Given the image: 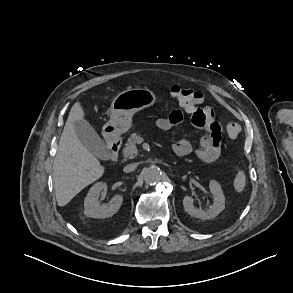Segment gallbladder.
Returning a JSON list of instances; mask_svg holds the SVG:
<instances>
[{
	"label": "gallbladder",
	"instance_id": "1",
	"mask_svg": "<svg viewBox=\"0 0 293 293\" xmlns=\"http://www.w3.org/2000/svg\"><path fill=\"white\" fill-rule=\"evenodd\" d=\"M76 135L83 146L99 159H105L109 153L105 142L86 120L74 122Z\"/></svg>",
	"mask_w": 293,
	"mask_h": 293
}]
</instances>
